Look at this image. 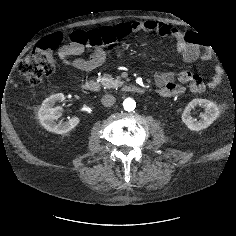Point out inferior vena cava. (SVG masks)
I'll return each mask as SVG.
<instances>
[{
    "mask_svg": "<svg viewBox=\"0 0 236 236\" xmlns=\"http://www.w3.org/2000/svg\"><path fill=\"white\" fill-rule=\"evenodd\" d=\"M116 99L113 95L110 94H106L102 97L101 99V103L105 106V107H110L115 103Z\"/></svg>",
    "mask_w": 236,
    "mask_h": 236,
    "instance_id": "602c4592",
    "label": "inferior vena cava"
}]
</instances>
